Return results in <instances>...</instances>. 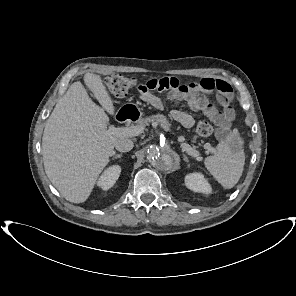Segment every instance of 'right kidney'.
Wrapping results in <instances>:
<instances>
[{
  "instance_id": "obj_1",
  "label": "right kidney",
  "mask_w": 296,
  "mask_h": 296,
  "mask_svg": "<svg viewBox=\"0 0 296 296\" xmlns=\"http://www.w3.org/2000/svg\"><path fill=\"white\" fill-rule=\"evenodd\" d=\"M120 173L121 167L119 165L108 167L98 179L97 185L103 190L110 189L118 180Z\"/></svg>"
}]
</instances>
